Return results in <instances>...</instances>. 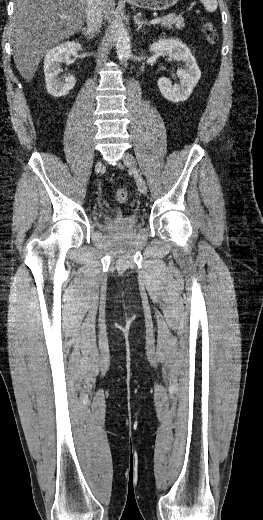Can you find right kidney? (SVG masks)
Returning <instances> with one entry per match:
<instances>
[{
    "instance_id": "obj_1",
    "label": "right kidney",
    "mask_w": 263,
    "mask_h": 520,
    "mask_svg": "<svg viewBox=\"0 0 263 520\" xmlns=\"http://www.w3.org/2000/svg\"><path fill=\"white\" fill-rule=\"evenodd\" d=\"M82 50L81 44L67 41L49 50L44 58V74L47 92L54 97L66 96L76 83L74 75L59 77L61 64L75 52Z\"/></svg>"
}]
</instances>
